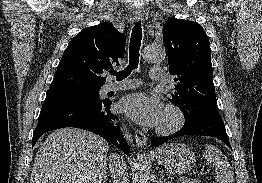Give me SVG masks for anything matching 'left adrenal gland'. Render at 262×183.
<instances>
[{
	"label": "left adrenal gland",
	"instance_id": "1",
	"mask_svg": "<svg viewBox=\"0 0 262 183\" xmlns=\"http://www.w3.org/2000/svg\"><path fill=\"white\" fill-rule=\"evenodd\" d=\"M159 183H172L164 179L163 172L160 173Z\"/></svg>",
	"mask_w": 262,
	"mask_h": 183
}]
</instances>
